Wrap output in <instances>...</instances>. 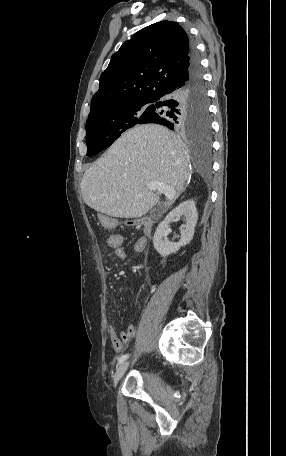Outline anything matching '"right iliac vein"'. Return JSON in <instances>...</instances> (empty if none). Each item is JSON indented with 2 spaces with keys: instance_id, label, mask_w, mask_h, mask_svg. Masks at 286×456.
Segmentation results:
<instances>
[{
  "instance_id": "right-iliac-vein-1",
  "label": "right iliac vein",
  "mask_w": 286,
  "mask_h": 456,
  "mask_svg": "<svg viewBox=\"0 0 286 456\" xmlns=\"http://www.w3.org/2000/svg\"><path fill=\"white\" fill-rule=\"evenodd\" d=\"M129 367V362H123L116 370L115 374H114V382H113V385L114 387H116V385L118 384L119 380L123 377V375L125 374L126 370L128 369Z\"/></svg>"
}]
</instances>
